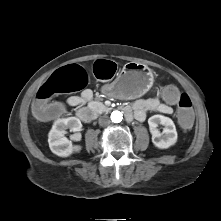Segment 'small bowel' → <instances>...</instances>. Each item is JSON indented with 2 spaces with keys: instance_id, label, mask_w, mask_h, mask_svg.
<instances>
[{
  "instance_id": "c3829d8e",
  "label": "small bowel",
  "mask_w": 221,
  "mask_h": 221,
  "mask_svg": "<svg viewBox=\"0 0 221 221\" xmlns=\"http://www.w3.org/2000/svg\"><path fill=\"white\" fill-rule=\"evenodd\" d=\"M93 98V92L90 89H85L79 95L71 96L67 100V104L71 107H79L89 102ZM173 106H167L158 98L138 99L132 104L134 117L138 121H144L147 113L154 111L162 114H172Z\"/></svg>"
}]
</instances>
